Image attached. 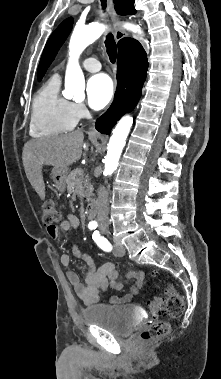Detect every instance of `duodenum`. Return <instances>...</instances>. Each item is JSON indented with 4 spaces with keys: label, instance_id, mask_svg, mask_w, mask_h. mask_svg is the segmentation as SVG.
Masks as SVG:
<instances>
[{
    "label": "duodenum",
    "instance_id": "410a0bca",
    "mask_svg": "<svg viewBox=\"0 0 221 379\" xmlns=\"http://www.w3.org/2000/svg\"><path fill=\"white\" fill-rule=\"evenodd\" d=\"M98 213V203L93 201L89 204L86 210V217L88 220H93Z\"/></svg>",
    "mask_w": 221,
    "mask_h": 379
}]
</instances>
